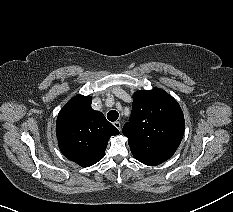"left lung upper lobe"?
Masks as SVG:
<instances>
[{"label": "left lung upper lobe", "mask_w": 233, "mask_h": 212, "mask_svg": "<svg viewBox=\"0 0 233 212\" xmlns=\"http://www.w3.org/2000/svg\"><path fill=\"white\" fill-rule=\"evenodd\" d=\"M185 128L178 102L159 88L137 91L129 122L123 127L133 156L141 163L156 166L177 150Z\"/></svg>", "instance_id": "left-lung-upper-lobe-1"}]
</instances>
